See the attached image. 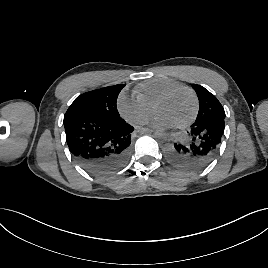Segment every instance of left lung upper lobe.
Segmentation results:
<instances>
[{"label":"left lung upper lobe","mask_w":268,"mask_h":268,"mask_svg":"<svg viewBox=\"0 0 268 268\" xmlns=\"http://www.w3.org/2000/svg\"><path fill=\"white\" fill-rule=\"evenodd\" d=\"M192 87L199 99V112L191 127L202 123H216L218 119L225 118L223 106L212 93L197 84H192Z\"/></svg>","instance_id":"1"}]
</instances>
